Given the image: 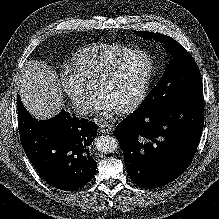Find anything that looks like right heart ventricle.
Wrapping results in <instances>:
<instances>
[{
	"label": "right heart ventricle",
	"mask_w": 219,
	"mask_h": 219,
	"mask_svg": "<svg viewBox=\"0 0 219 219\" xmlns=\"http://www.w3.org/2000/svg\"><path fill=\"white\" fill-rule=\"evenodd\" d=\"M131 49L119 43L99 44L81 49L72 58V71L85 84L95 87L105 70Z\"/></svg>",
	"instance_id": "1"
}]
</instances>
